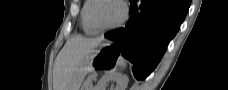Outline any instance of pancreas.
Segmentation results:
<instances>
[{
	"instance_id": "obj_1",
	"label": "pancreas",
	"mask_w": 228,
	"mask_h": 90,
	"mask_svg": "<svg viewBox=\"0 0 228 90\" xmlns=\"http://www.w3.org/2000/svg\"><path fill=\"white\" fill-rule=\"evenodd\" d=\"M94 78H95V76H93V75L88 76L82 86V90H93Z\"/></svg>"
}]
</instances>
